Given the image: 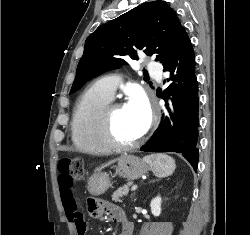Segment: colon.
Segmentation results:
<instances>
[{
  "label": "colon",
  "mask_w": 250,
  "mask_h": 235,
  "mask_svg": "<svg viewBox=\"0 0 250 235\" xmlns=\"http://www.w3.org/2000/svg\"><path fill=\"white\" fill-rule=\"evenodd\" d=\"M59 186L71 188L75 181L82 179L84 174L81 159H63L58 163Z\"/></svg>",
  "instance_id": "colon-1"
}]
</instances>
